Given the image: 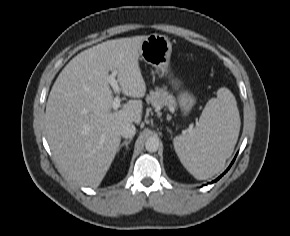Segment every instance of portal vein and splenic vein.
I'll list each match as a JSON object with an SVG mask.
<instances>
[{
    "label": "portal vein and splenic vein",
    "instance_id": "18ae733b",
    "mask_svg": "<svg viewBox=\"0 0 290 236\" xmlns=\"http://www.w3.org/2000/svg\"><path fill=\"white\" fill-rule=\"evenodd\" d=\"M115 77H116V72H112V74L108 76V82L110 83L113 90L118 94L112 102L113 109L117 110L120 107V103H121V99L119 97V93L121 89Z\"/></svg>",
    "mask_w": 290,
    "mask_h": 236
}]
</instances>
